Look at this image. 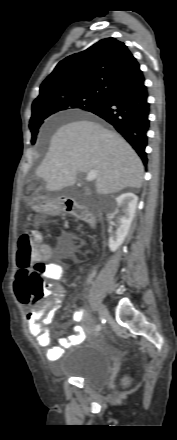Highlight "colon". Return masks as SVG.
<instances>
[{
	"label": "colon",
	"mask_w": 177,
	"mask_h": 440,
	"mask_svg": "<svg viewBox=\"0 0 177 440\" xmlns=\"http://www.w3.org/2000/svg\"><path fill=\"white\" fill-rule=\"evenodd\" d=\"M37 240L39 236L32 231L22 234L18 240L17 266L21 275L17 285L24 303L37 302L48 293L45 285L47 265L44 262L48 248Z\"/></svg>",
	"instance_id": "obj_1"
}]
</instances>
